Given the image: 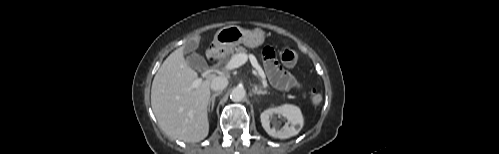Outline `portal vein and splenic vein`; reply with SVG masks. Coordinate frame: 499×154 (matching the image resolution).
Here are the masks:
<instances>
[{
  "mask_svg": "<svg viewBox=\"0 0 499 154\" xmlns=\"http://www.w3.org/2000/svg\"><path fill=\"white\" fill-rule=\"evenodd\" d=\"M247 60H248V56L245 53L236 54L228 62V64L226 65V69L232 70V69L238 68V67L242 66L243 64H245L247 62ZM251 60H252V65L256 68V70L258 71V74L262 78L263 85L267 86L266 76H265L262 68L258 65V63L254 57H251ZM253 73L256 74L257 72L253 71ZM201 82H202V78L196 79L193 83V87L194 88L198 87L201 84Z\"/></svg>",
  "mask_w": 499,
  "mask_h": 154,
  "instance_id": "18ae733b",
  "label": "portal vein and splenic vein"
}]
</instances>
